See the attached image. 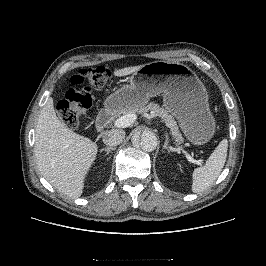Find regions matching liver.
I'll use <instances>...</instances> for the list:
<instances>
[{
	"instance_id": "liver-1",
	"label": "liver",
	"mask_w": 266,
	"mask_h": 266,
	"mask_svg": "<svg viewBox=\"0 0 266 266\" xmlns=\"http://www.w3.org/2000/svg\"><path fill=\"white\" fill-rule=\"evenodd\" d=\"M142 66L115 70L114 75L126 76ZM97 151L95 142L66 128L55 113L53 99L48 98L35 130L34 152L42 176L60 193L78 198Z\"/></svg>"
}]
</instances>
